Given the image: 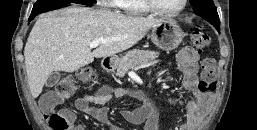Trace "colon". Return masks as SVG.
Masks as SVG:
<instances>
[{
	"instance_id": "5ec220e1",
	"label": "colon",
	"mask_w": 257,
	"mask_h": 130,
	"mask_svg": "<svg viewBox=\"0 0 257 130\" xmlns=\"http://www.w3.org/2000/svg\"><path fill=\"white\" fill-rule=\"evenodd\" d=\"M191 41L197 50H203L209 45V37L201 32L195 30L191 33ZM96 79L95 73L91 69H83L74 74L65 76L56 86V93L69 96L76 92L84 85L91 84ZM198 89L202 93L213 92L216 89V69L213 58L204 57L201 60V72ZM52 130H69L70 121L66 115L60 112H54L45 115Z\"/></svg>"
}]
</instances>
